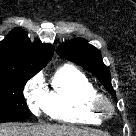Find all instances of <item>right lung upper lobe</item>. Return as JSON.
Wrapping results in <instances>:
<instances>
[{"label":"right lung upper lobe","mask_w":136,"mask_h":136,"mask_svg":"<svg viewBox=\"0 0 136 136\" xmlns=\"http://www.w3.org/2000/svg\"><path fill=\"white\" fill-rule=\"evenodd\" d=\"M52 55L51 45L31 44L27 35L16 28L0 42V76L13 73L35 75L45 67Z\"/></svg>","instance_id":"1"}]
</instances>
